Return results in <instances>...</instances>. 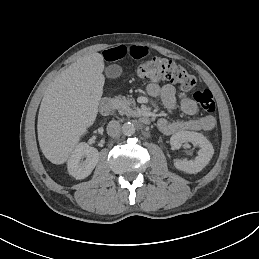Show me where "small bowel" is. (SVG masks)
I'll return each mask as SVG.
<instances>
[{
	"mask_svg": "<svg viewBox=\"0 0 259 259\" xmlns=\"http://www.w3.org/2000/svg\"><path fill=\"white\" fill-rule=\"evenodd\" d=\"M149 53V49L143 45H117L103 51V58L108 62H116L125 57L132 59H143ZM147 92L152 97H159L168 110H173L177 103L176 89L172 84L159 85L153 82L148 85ZM181 111L188 116H194L198 107L194 99L189 96H182L179 99ZM216 125V119L211 115L194 117L185 120L171 121L161 118L157 122L158 129L165 135H172L181 131H209Z\"/></svg>",
	"mask_w": 259,
	"mask_h": 259,
	"instance_id": "1",
	"label": "small bowel"
}]
</instances>
